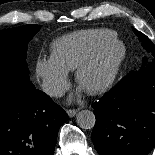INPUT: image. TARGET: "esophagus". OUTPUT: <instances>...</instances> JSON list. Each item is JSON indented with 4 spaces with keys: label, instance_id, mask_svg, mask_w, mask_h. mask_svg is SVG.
I'll use <instances>...</instances> for the list:
<instances>
[{
    "label": "esophagus",
    "instance_id": "esophagus-1",
    "mask_svg": "<svg viewBox=\"0 0 155 155\" xmlns=\"http://www.w3.org/2000/svg\"><path fill=\"white\" fill-rule=\"evenodd\" d=\"M77 113V110L76 109H68L67 110V114L69 115V117H74Z\"/></svg>",
    "mask_w": 155,
    "mask_h": 155
}]
</instances>
